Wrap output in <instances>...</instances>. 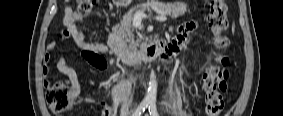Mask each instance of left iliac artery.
I'll use <instances>...</instances> for the list:
<instances>
[{
  "mask_svg": "<svg viewBox=\"0 0 283 116\" xmlns=\"http://www.w3.org/2000/svg\"><path fill=\"white\" fill-rule=\"evenodd\" d=\"M149 113L151 116H158L156 104L154 102H151L149 105Z\"/></svg>",
  "mask_w": 283,
  "mask_h": 116,
  "instance_id": "obj_1",
  "label": "left iliac artery"
}]
</instances>
